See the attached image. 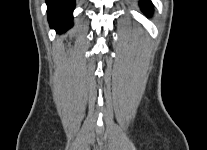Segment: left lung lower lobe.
<instances>
[{
	"instance_id": "obj_1",
	"label": "left lung lower lobe",
	"mask_w": 207,
	"mask_h": 150,
	"mask_svg": "<svg viewBox=\"0 0 207 150\" xmlns=\"http://www.w3.org/2000/svg\"><path fill=\"white\" fill-rule=\"evenodd\" d=\"M140 5L145 13L150 14L152 12V3L149 0H141Z\"/></svg>"
}]
</instances>
